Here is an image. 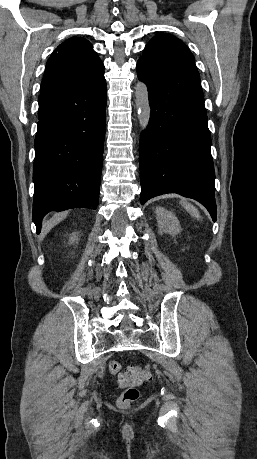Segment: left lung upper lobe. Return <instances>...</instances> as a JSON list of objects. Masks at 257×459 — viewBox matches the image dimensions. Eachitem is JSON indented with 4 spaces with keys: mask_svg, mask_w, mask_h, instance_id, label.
Returning a JSON list of instances; mask_svg holds the SVG:
<instances>
[{
    "mask_svg": "<svg viewBox=\"0 0 257 459\" xmlns=\"http://www.w3.org/2000/svg\"><path fill=\"white\" fill-rule=\"evenodd\" d=\"M143 56L166 61L194 60L186 45L172 35L160 34L146 45Z\"/></svg>",
    "mask_w": 257,
    "mask_h": 459,
    "instance_id": "left-lung-upper-lobe-1",
    "label": "left lung upper lobe"
}]
</instances>
